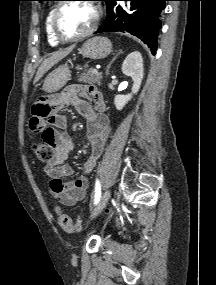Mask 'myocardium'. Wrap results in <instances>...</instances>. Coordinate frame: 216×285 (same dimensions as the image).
Segmentation results:
<instances>
[{
	"label": "myocardium",
	"mask_w": 216,
	"mask_h": 285,
	"mask_svg": "<svg viewBox=\"0 0 216 285\" xmlns=\"http://www.w3.org/2000/svg\"><path fill=\"white\" fill-rule=\"evenodd\" d=\"M70 3H73V2H62V3H60L55 8L54 13L52 15V19H51L52 33H53L54 37L59 42H63V43L76 42V41H80V40H83V39L89 37L97 29L99 22H100V19H101V8H100V6L98 4H96L95 2H86V3L91 4L95 10V18H94L92 25L89 27V29H87L82 34H79L76 36H71V37L63 35L59 30L58 21H59V17H60L62 10Z\"/></svg>",
	"instance_id": "1"
}]
</instances>
